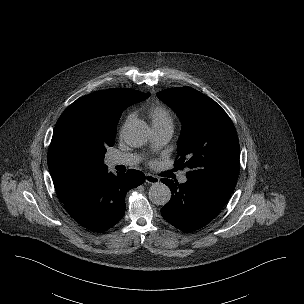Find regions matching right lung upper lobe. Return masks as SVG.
Returning a JSON list of instances; mask_svg holds the SVG:
<instances>
[{
    "instance_id": "cb5924a9",
    "label": "right lung upper lobe",
    "mask_w": 304,
    "mask_h": 304,
    "mask_svg": "<svg viewBox=\"0 0 304 304\" xmlns=\"http://www.w3.org/2000/svg\"><path fill=\"white\" fill-rule=\"evenodd\" d=\"M149 95L113 88L83 96L65 109L56 123L48 152V167L62 203L107 167L100 142L108 141L112 123L126 105Z\"/></svg>"
}]
</instances>
